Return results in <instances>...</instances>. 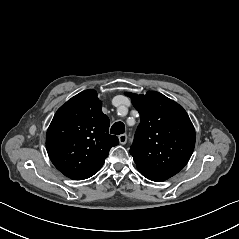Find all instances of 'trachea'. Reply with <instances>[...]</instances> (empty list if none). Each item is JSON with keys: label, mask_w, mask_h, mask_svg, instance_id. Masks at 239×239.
I'll use <instances>...</instances> for the list:
<instances>
[{"label": "trachea", "mask_w": 239, "mask_h": 239, "mask_svg": "<svg viewBox=\"0 0 239 239\" xmlns=\"http://www.w3.org/2000/svg\"><path fill=\"white\" fill-rule=\"evenodd\" d=\"M125 132V125L123 122H116L110 129L111 134L119 135Z\"/></svg>", "instance_id": "trachea-1"}]
</instances>
